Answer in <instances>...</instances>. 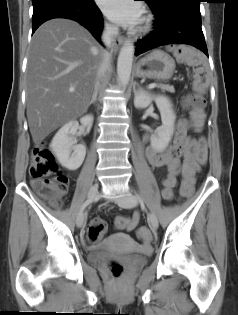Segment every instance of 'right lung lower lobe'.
Segmentation results:
<instances>
[{
    "label": "right lung lower lobe",
    "mask_w": 238,
    "mask_h": 315,
    "mask_svg": "<svg viewBox=\"0 0 238 315\" xmlns=\"http://www.w3.org/2000/svg\"><path fill=\"white\" fill-rule=\"evenodd\" d=\"M32 4V34L47 20L67 18L79 22L100 39L103 18L94 0H32Z\"/></svg>",
    "instance_id": "right-lung-lower-lobe-1"
}]
</instances>
